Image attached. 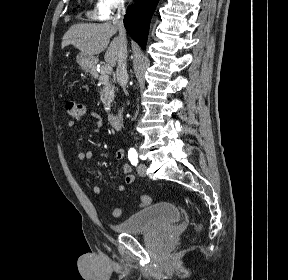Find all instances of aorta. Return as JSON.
Masks as SVG:
<instances>
[{
  "label": "aorta",
  "instance_id": "aorta-1",
  "mask_svg": "<svg viewBox=\"0 0 288 280\" xmlns=\"http://www.w3.org/2000/svg\"><path fill=\"white\" fill-rule=\"evenodd\" d=\"M128 118H129V120H134L135 117H134V115H129Z\"/></svg>",
  "mask_w": 288,
  "mask_h": 280
}]
</instances>
